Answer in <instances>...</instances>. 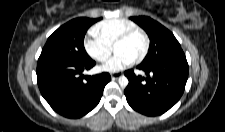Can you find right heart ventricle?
Returning <instances> with one entry per match:
<instances>
[{
  "mask_svg": "<svg viewBox=\"0 0 225 132\" xmlns=\"http://www.w3.org/2000/svg\"><path fill=\"white\" fill-rule=\"evenodd\" d=\"M134 27H137V25L128 19H108L99 22L94 27V34L103 43L113 47L114 42L122 33Z\"/></svg>",
  "mask_w": 225,
  "mask_h": 132,
  "instance_id": "e07e8e85",
  "label": "right heart ventricle"
}]
</instances>
